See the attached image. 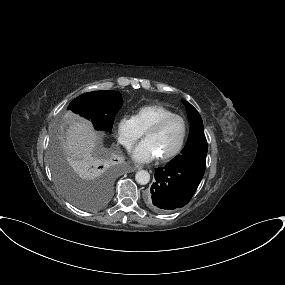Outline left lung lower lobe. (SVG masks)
I'll list each match as a JSON object with an SVG mask.
<instances>
[{"label": "left lung lower lobe", "instance_id": "1", "mask_svg": "<svg viewBox=\"0 0 285 285\" xmlns=\"http://www.w3.org/2000/svg\"><path fill=\"white\" fill-rule=\"evenodd\" d=\"M155 183L146 196V203L156 212L166 213L185 206L194 195L203 175L170 164L155 170Z\"/></svg>", "mask_w": 285, "mask_h": 285}]
</instances>
